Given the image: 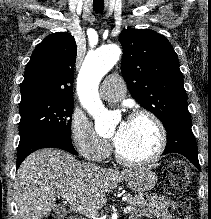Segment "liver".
I'll list each match as a JSON object with an SVG mask.
<instances>
[{
  "instance_id": "liver-1",
  "label": "liver",
  "mask_w": 211,
  "mask_h": 219,
  "mask_svg": "<svg viewBox=\"0 0 211 219\" xmlns=\"http://www.w3.org/2000/svg\"><path fill=\"white\" fill-rule=\"evenodd\" d=\"M135 172L81 164L61 150H39L23 161L16 174L17 219H42L54 210L58 195L77 199L87 209H100L107 202L106 193Z\"/></svg>"
}]
</instances>
